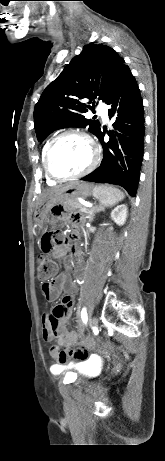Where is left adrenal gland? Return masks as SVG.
I'll list each match as a JSON object with an SVG mask.
<instances>
[{
  "instance_id": "left-adrenal-gland-1",
  "label": "left adrenal gland",
  "mask_w": 165,
  "mask_h": 461,
  "mask_svg": "<svg viewBox=\"0 0 165 461\" xmlns=\"http://www.w3.org/2000/svg\"><path fill=\"white\" fill-rule=\"evenodd\" d=\"M104 211V207L101 206V204L93 206L89 212L87 218H89V221H93L94 216L97 212Z\"/></svg>"
}]
</instances>
